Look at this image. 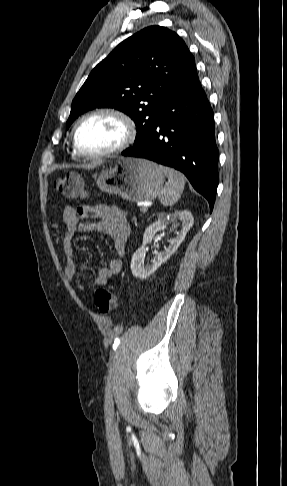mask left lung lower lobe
Segmentation results:
<instances>
[{
  "instance_id": "left-lung-lower-lobe-1",
  "label": "left lung lower lobe",
  "mask_w": 287,
  "mask_h": 486,
  "mask_svg": "<svg viewBox=\"0 0 287 486\" xmlns=\"http://www.w3.org/2000/svg\"><path fill=\"white\" fill-rule=\"evenodd\" d=\"M124 156L152 160L175 168L209 202L212 211L218 186V149L213 110L197 70L169 95L157 121L141 142Z\"/></svg>"
}]
</instances>
